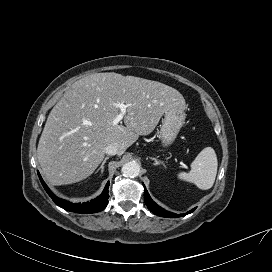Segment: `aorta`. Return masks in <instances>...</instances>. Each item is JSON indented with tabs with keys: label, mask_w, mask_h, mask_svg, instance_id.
<instances>
[{
	"label": "aorta",
	"mask_w": 272,
	"mask_h": 272,
	"mask_svg": "<svg viewBox=\"0 0 272 272\" xmlns=\"http://www.w3.org/2000/svg\"><path fill=\"white\" fill-rule=\"evenodd\" d=\"M121 172L125 177L129 178L137 177L140 172V165L135 161L127 162L122 166Z\"/></svg>",
	"instance_id": "1"
}]
</instances>
